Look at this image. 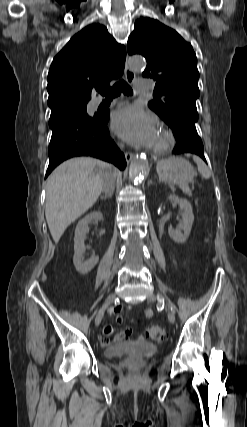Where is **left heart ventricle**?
<instances>
[{
  "label": "left heart ventricle",
  "instance_id": "obj_1",
  "mask_svg": "<svg viewBox=\"0 0 247 427\" xmlns=\"http://www.w3.org/2000/svg\"><path fill=\"white\" fill-rule=\"evenodd\" d=\"M159 140H160V134L158 133L154 144L157 143Z\"/></svg>",
  "mask_w": 247,
  "mask_h": 427
}]
</instances>
